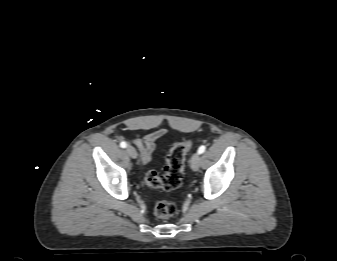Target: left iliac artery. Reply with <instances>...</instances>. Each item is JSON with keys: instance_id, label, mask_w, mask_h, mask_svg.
<instances>
[{"instance_id": "obj_1", "label": "left iliac artery", "mask_w": 337, "mask_h": 261, "mask_svg": "<svg viewBox=\"0 0 337 261\" xmlns=\"http://www.w3.org/2000/svg\"><path fill=\"white\" fill-rule=\"evenodd\" d=\"M205 150H206V146L202 145V146L199 147L198 153H199V154H202V153L205 152Z\"/></svg>"}]
</instances>
